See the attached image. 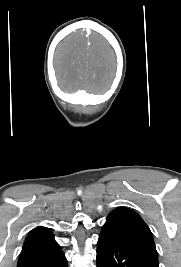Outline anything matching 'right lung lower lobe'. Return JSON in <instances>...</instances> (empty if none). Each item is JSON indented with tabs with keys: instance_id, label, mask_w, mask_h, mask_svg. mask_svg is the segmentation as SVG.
<instances>
[{
	"instance_id": "obj_1",
	"label": "right lung lower lobe",
	"mask_w": 181,
	"mask_h": 267,
	"mask_svg": "<svg viewBox=\"0 0 181 267\" xmlns=\"http://www.w3.org/2000/svg\"><path fill=\"white\" fill-rule=\"evenodd\" d=\"M17 267H67V260L60 249L22 250Z\"/></svg>"
}]
</instances>
